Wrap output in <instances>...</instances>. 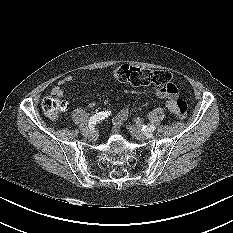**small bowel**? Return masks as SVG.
<instances>
[{
  "label": "small bowel",
  "mask_w": 233,
  "mask_h": 233,
  "mask_svg": "<svg viewBox=\"0 0 233 233\" xmlns=\"http://www.w3.org/2000/svg\"><path fill=\"white\" fill-rule=\"evenodd\" d=\"M73 77L71 75H68L64 78H62L59 82L58 85L55 86L51 93L52 95L61 98L64 94L63 91V86L66 85L67 83L71 82ZM155 94L162 99H166V107L174 114L177 115V106H176V101L177 99V90L176 92H168L166 90H160L156 89ZM128 115V108L124 107L122 108L119 113L116 115V117L113 120V123L116 127H119L126 119Z\"/></svg>",
  "instance_id": "obj_1"
}]
</instances>
